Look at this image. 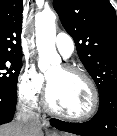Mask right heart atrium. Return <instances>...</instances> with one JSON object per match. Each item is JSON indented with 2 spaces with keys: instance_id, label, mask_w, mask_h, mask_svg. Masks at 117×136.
Wrapping results in <instances>:
<instances>
[{
  "instance_id": "1",
  "label": "right heart atrium",
  "mask_w": 117,
  "mask_h": 136,
  "mask_svg": "<svg viewBox=\"0 0 117 136\" xmlns=\"http://www.w3.org/2000/svg\"><path fill=\"white\" fill-rule=\"evenodd\" d=\"M45 80L33 66H26L20 72L17 83V93L20 101L26 106L38 104L43 95Z\"/></svg>"
}]
</instances>
